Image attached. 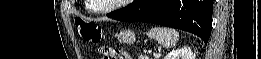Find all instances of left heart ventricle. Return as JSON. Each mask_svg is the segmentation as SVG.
I'll list each match as a JSON object with an SVG mask.
<instances>
[{"label": "left heart ventricle", "mask_w": 261, "mask_h": 59, "mask_svg": "<svg viewBox=\"0 0 261 59\" xmlns=\"http://www.w3.org/2000/svg\"><path fill=\"white\" fill-rule=\"evenodd\" d=\"M120 2V0H92L91 3L95 8L106 9Z\"/></svg>", "instance_id": "obj_1"}]
</instances>
